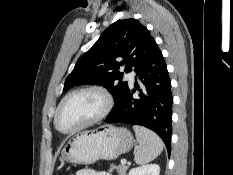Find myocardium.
<instances>
[{
    "label": "myocardium",
    "instance_id": "1",
    "mask_svg": "<svg viewBox=\"0 0 233 175\" xmlns=\"http://www.w3.org/2000/svg\"><path fill=\"white\" fill-rule=\"evenodd\" d=\"M83 92H94L97 93L99 96H101V98L103 99V107L101 109V111L95 115L94 117H92L91 119L85 121L84 123L80 124L79 126L71 129V130H62L59 125H58V116H59V112L63 106V104L73 95L78 94V93H83ZM113 98L111 96V94L103 87L101 86H96V85H91V86H84V87H79L76 89L71 90L70 92H68L59 102L55 114H54V125L55 128L60 131L61 133L64 134H72L75 133L77 131L82 130L83 128L92 125L98 121H101L102 119H104L112 110L113 108Z\"/></svg>",
    "mask_w": 233,
    "mask_h": 175
}]
</instances>
